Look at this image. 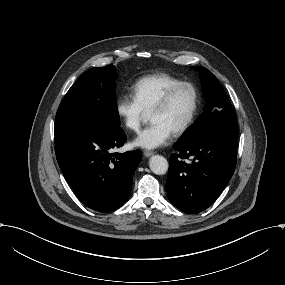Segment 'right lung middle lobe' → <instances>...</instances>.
<instances>
[{
    "mask_svg": "<svg viewBox=\"0 0 285 285\" xmlns=\"http://www.w3.org/2000/svg\"><path fill=\"white\" fill-rule=\"evenodd\" d=\"M115 72L116 68L111 64L83 73L60 104L55 128L84 126L119 129Z\"/></svg>",
    "mask_w": 285,
    "mask_h": 285,
    "instance_id": "right-lung-middle-lobe-1",
    "label": "right lung middle lobe"
}]
</instances>
